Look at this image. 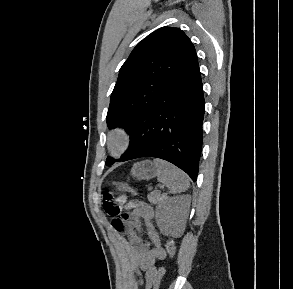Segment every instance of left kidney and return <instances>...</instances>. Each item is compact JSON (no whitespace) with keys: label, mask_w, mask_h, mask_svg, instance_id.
<instances>
[{"label":"left kidney","mask_w":293,"mask_h":289,"mask_svg":"<svg viewBox=\"0 0 293 289\" xmlns=\"http://www.w3.org/2000/svg\"><path fill=\"white\" fill-rule=\"evenodd\" d=\"M190 207V196L169 198L156 209V222L165 236L178 237L184 228Z\"/></svg>","instance_id":"5707ae66"}]
</instances>
